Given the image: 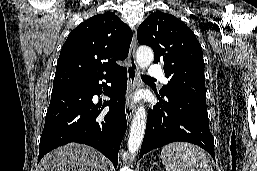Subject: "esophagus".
Returning a JSON list of instances; mask_svg holds the SVG:
<instances>
[{
  "instance_id": "esophagus-1",
  "label": "esophagus",
  "mask_w": 257,
  "mask_h": 171,
  "mask_svg": "<svg viewBox=\"0 0 257 171\" xmlns=\"http://www.w3.org/2000/svg\"><path fill=\"white\" fill-rule=\"evenodd\" d=\"M136 47H137V39L136 33L133 34L130 51L128 55V67H127V75H128V92L125 103V114L128 121L132 118V115L135 110V105L132 101V93L139 86V76H138V66L136 63Z\"/></svg>"
}]
</instances>
